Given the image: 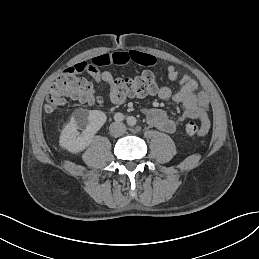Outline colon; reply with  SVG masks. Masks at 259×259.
<instances>
[{
    "mask_svg": "<svg viewBox=\"0 0 259 259\" xmlns=\"http://www.w3.org/2000/svg\"><path fill=\"white\" fill-rule=\"evenodd\" d=\"M109 85V94L112 101L124 100L128 97H143L157 91L155 74L151 70H145L131 78L114 79ZM67 99L87 104L102 102V98L96 93L90 81L69 72L60 75L51 86L46 98V111L53 113L59 110L66 103ZM183 131L190 136L196 135L201 132V125L190 119H185Z\"/></svg>",
    "mask_w": 259,
    "mask_h": 259,
    "instance_id": "obj_1",
    "label": "colon"
}]
</instances>
